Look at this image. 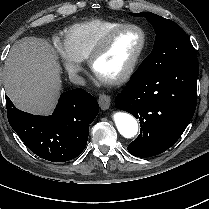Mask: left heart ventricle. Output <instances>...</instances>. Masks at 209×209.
I'll list each match as a JSON object with an SVG mask.
<instances>
[{"label": "left heart ventricle", "mask_w": 209, "mask_h": 209, "mask_svg": "<svg viewBox=\"0 0 209 209\" xmlns=\"http://www.w3.org/2000/svg\"><path fill=\"white\" fill-rule=\"evenodd\" d=\"M141 40V33L137 30H124L117 33L97 61L96 71L106 77L120 74L137 52Z\"/></svg>", "instance_id": "1"}]
</instances>
